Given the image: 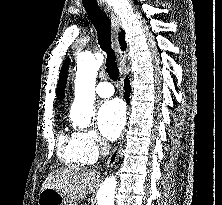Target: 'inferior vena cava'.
Masks as SVG:
<instances>
[{
	"instance_id": "inferior-vena-cava-1",
	"label": "inferior vena cava",
	"mask_w": 222,
	"mask_h": 205,
	"mask_svg": "<svg viewBox=\"0 0 222 205\" xmlns=\"http://www.w3.org/2000/svg\"><path fill=\"white\" fill-rule=\"evenodd\" d=\"M110 145H109V143H107V142H103V148H102V155H104V156H106V155H108L109 154V152H110Z\"/></svg>"
}]
</instances>
